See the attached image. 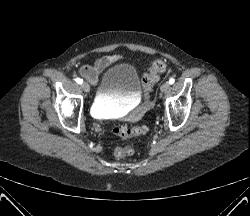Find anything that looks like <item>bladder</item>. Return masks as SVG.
Here are the masks:
<instances>
[{
  "label": "bladder",
  "instance_id": "1",
  "mask_svg": "<svg viewBox=\"0 0 250 216\" xmlns=\"http://www.w3.org/2000/svg\"><path fill=\"white\" fill-rule=\"evenodd\" d=\"M140 95L136 68L128 63L115 64L100 79L92 111L96 116H107L137 103Z\"/></svg>",
  "mask_w": 250,
  "mask_h": 216
}]
</instances>
